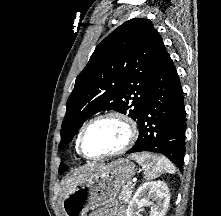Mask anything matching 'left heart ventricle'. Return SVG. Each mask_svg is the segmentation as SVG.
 Listing matches in <instances>:
<instances>
[{"instance_id": "obj_1", "label": "left heart ventricle", "mask_w": 221, "mask_h": 216, "mask_svg": "<svg viewBox=\"0 0 221 216\" xmlns=\"http://www.w3.org/2000/svg\"><path fill=\"white\" fill-rule=\"evenodd\" d=\"M126 139L123 124L115 119L94 123L85 133L83 148L88 155H99L119 148Z\"/></svg>"}]
</instances>
